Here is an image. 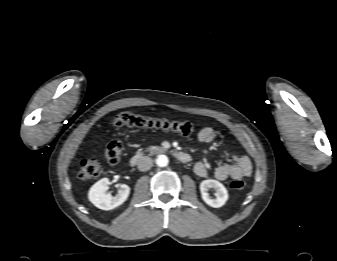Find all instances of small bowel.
I'll list each match as a JSON object with an SVG mask.
<instances>
[{
    "instance_id": "obj_1",
    "label": "small bowel",
    "mask_w": 337,
    "mask_h": 261,
    "mask_svg": "<svg viewBox=\"0 0 337 261\" xmlns=\"http://www.w3.org/2000/svg\"><path fill=\"white\" fill-rule=\"evenodd\" d=\"M216 139V131L211 127L202 128L198 133V140L204 143L213 142ZM232 163H225L217 166L214 170V177L224 181L228 178L239 179L248 177L252 173V163L250 159L241 154L231 155ZM194 172L199 177H207L208 170L203 162H197Z\"/></svg>"
}]
</instances>
